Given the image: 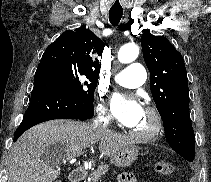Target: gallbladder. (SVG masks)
<instances>
[{
	"instance_id": "1",
	"label": "gallbladder",
	"mask_w": 211,
	"mask_h": 182,
	"mask_svg": "<svg viewBox=\"0 0 211 182\" xmlns=\"http://www.w3.org/2000/svg\"><path fill=\"white\" fill-rule=\"evenodd\" d=\"M55 151L63 152V145L61 143H56L46 148L44 158L50 161H55L57 156H55Z\"/></svg>"
}]
</instances>
